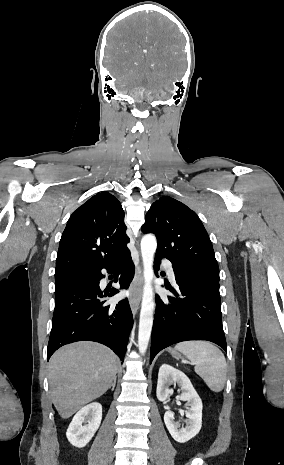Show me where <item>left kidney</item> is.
Returning <instances> with one entry per match:
<instances>
[{
  "label": "left kidney",
  "mask_w": 284,
  "mask_h": 465,
  "mask_svg": "<svg viewBox=\"0 0 284 465\" xmlns=\"http://www.w3.org/2000/svg\"><path fill=\"white\" fill-rule=\"evenodd\" d=\"M173 383H178L181 387L182 395L178 399L180 401H187L185 415L188 419L184 421L186 423L185 429H180L179 423L174 421V413L166 411L164 423L174 441H177V443H187V441L198 435L202 427L203 405L190 379L182 371H178V369H174L170 365H162L159 369L156 391L159 401H167L168 397L172 395L173 391H170L169 385H173Z\"/></svg>",
  "instance_id": "obj_1"
}]
</instances>
